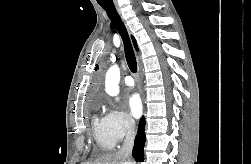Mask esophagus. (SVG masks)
I'll list each match as a JSON object with an SVG mask.
<instances>
[{
  "label": "esophagus",
  "mask_w": 251,
  "mask_h": 164,
  "mask_svg": "<svg viewBox=\"0 0 251 164\" xmlns=\"http://www.w3.org/2000/svg\"><path fill=\"white\" fill-rule=\"evenodd\" d=\"M115 5H116V8H117L118 12L120 13V9H119L118 5L117 4H115Z\"/></svg>",
  "instance_id": "obj_1"
}]
</instances>
